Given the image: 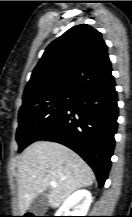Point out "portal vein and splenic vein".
Returning <instances> with one entry per match:
<instances>
[{
  "instance_id": "portal-vein-and-splenic-vein-1",
  "label": "portal vein and splenic vein",
  "mask_w": 132,
  "mask_h": 217,
  "mask_svg": "<svg viewBox=\"0 0 132 217\" xmlns=\"http://www.w3.org/2000/svg\"><path fill=\"white\" fill-rule=\"evenodd\" d=\"M51 186L55 187V186H57V183L55 181H52Z\"/></svg>"
}]
</instances>
